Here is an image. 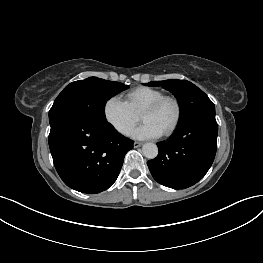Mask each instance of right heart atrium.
<instances>
[{
    "mask_svg": "<svg viewBox=\"0 0 263 263\" xmlns=\"http://www.w3.org/2000/svg\"><path fill=\"white\" fill-rule=\"evenodd\" d=\"M103 115L106 122L121 135H128L139 119L138 114L119 96L105 101Z\"/></svg>",
    "mask_w": 263,
    "mask_h": 263,
    "instance_id": "1",
    "label": "right heart atrium"
}]
</instances>
